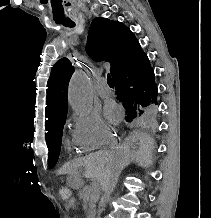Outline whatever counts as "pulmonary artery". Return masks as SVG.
<instances>
[{"label": "pulmonary artery", "instance_id": "obj_1", "mask_svg": "<svg viewBox=\"0 0 211 218\" xmlns=\"http://www.w3.org/2000/svg\"><path fill=\"white\" fill-rule=\"evenodd\" d=\"M98 93L101 97L106 98L112 95V90L107 84L105 78H101L98 82Z\"/></svg>", "mask_w": 211, "mask_h": 218}]
</instances>
